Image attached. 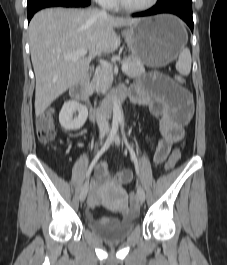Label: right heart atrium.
I'll return each mask as SVG.
<instances>
[{
	"label": "right heart atrium",
	"instance_id": "obj_1",
	"mask_svg": "<svg viewBox=\"0 0 227 265\" xmlns=\"http://www.w3.org/2000/svg\"><path fill=\"white\" fill-rule=\"evenodd\" d=\"M97 3H99L101 6L106 8H111L115 4V0H95Z\"/></svg>",
	"mask_w": 227,
	"mask_h": 265
}]
</instances>
